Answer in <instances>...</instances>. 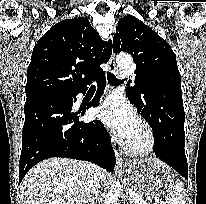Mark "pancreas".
Masks as SVG:
<instances>
[{
  "instance_id": "1",
  "label": "pancreas",
  "mask_w": 206,
  "mask_h": 204,
  "mask_svg": "<svg viewBox=\"0 0 206 204\" xmlns=\"http://www.w3.org/2000/svg\"><path fill=\"white\" fill-rule=\"evenodd\" d=\"M136 194H138V193H136ZM138 196H139L140 199H142V196L140 194H138ZM130 202H131V204H139L137 198H134V197H130Z\"/></svg>"
}]
</instances>
